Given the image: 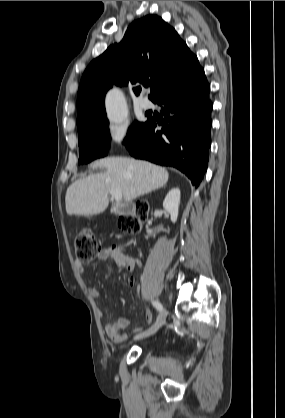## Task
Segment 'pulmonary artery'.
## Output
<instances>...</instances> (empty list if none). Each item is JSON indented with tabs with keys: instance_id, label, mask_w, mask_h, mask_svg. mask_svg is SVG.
<instances>
[{
	"instance_id": "obj_1",
	"label": "pulmonary artery",
	"mask_w": 285,
	"mask_h": 418,
	"mask_svg": "<svg viewBox=\"0 0 285 418\" xmlns=\"http://www.w3.org/2000/svg\"><path fill=\"white\" fill-rule=\"evenodd\" d=\"M141 107H142L144 110H149V109H151V108L153 107V103L151 102V100H150V99H148V98H143V99L141 100Z\"/></svg>"
}]
</instances>
